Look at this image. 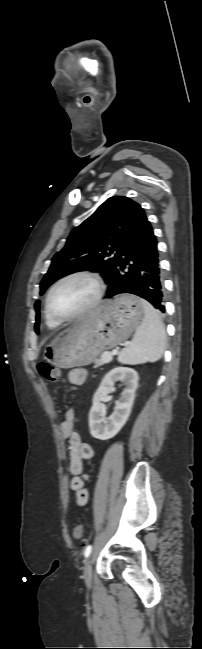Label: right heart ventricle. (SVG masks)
<instances>
[{
	"instance_id": "e07e8e85",
	"label": "right heart ventricle",
	"mask_w": 202,
	"mask_h": 649,
	"mask_svg": "<svg viewBox=\"0 0 202 649\" xmlns=\"http://www.w3.org/2000/svg\"><path fill=\"white\" fill-rule=\"evenodd\" d=\"M45 323H46V325H47L49 328H56V327L59 325V323L53 321V320H52V319L47 315L46 312H45Z\"/></svg>"
}]
</instances>
